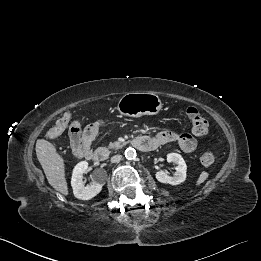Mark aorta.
<instances>
[{
	"label": "aorta",
	"mask_w": 261,
	"mask_h": 261,
	"mask_svg": "<svg viewBox=\"0 0 261 261\" xmlns=\"http://www.w3.org/2000/svg\"><path fill=\"white\" fill-rule=\"evenodd\" d=\"M124 154H125L126 159H128V160H133L136 158V150L132 147H128L125 150Z\"/></svg>",
	"instance_id": "762f6f07"
}]
</instances>
